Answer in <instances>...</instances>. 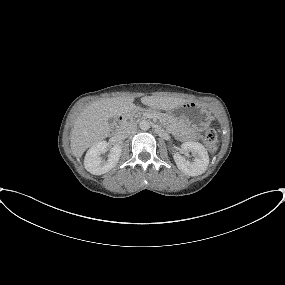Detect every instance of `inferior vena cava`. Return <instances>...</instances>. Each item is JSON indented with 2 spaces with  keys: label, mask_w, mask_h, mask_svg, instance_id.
Wrapping results in <instances>:
<instances>
[{
  "label": "inferior vena cava",
  "mask_w": 285,
  "mask_h": 285,
  "mask_svg": "<svg viewBox=\"0 0 285 285\" xmlns=\"http://www.w3.org/2000/svg\"><path fill=\"white\" fill-rule=\"evenodd\" d=\"M135 130H136V125L134 123H127L122 125L118 129V135L122 138H126L130 134H132Z\"/></svg>",
  "instance_id": "602c4592"
}]
</instances>
